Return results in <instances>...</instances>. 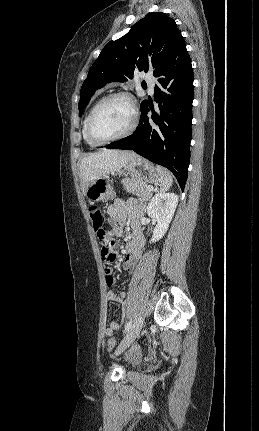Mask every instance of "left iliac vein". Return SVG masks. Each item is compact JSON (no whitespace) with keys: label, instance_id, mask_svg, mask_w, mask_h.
I'll use <instances>...</instances> for the list:
<instances>
[{"label":"left iliac vein","instance_id":"4c4485c4","mask_svg":"<svg viewBox=\"0 0 259 431\" xmlns=\"http://www.w3.org/2000/svg\"><path fill=\"white\" fill-rule=\"evenodd\" d=\"M144 319L143 317H139L133 326L130 328V330L127 332L123 340L121 341L120 345L118 346L115 354L119 355L121 354L125 349H127L138 337L142 326H143Z\"/></svg>","mask_w":259,"mask_h":431}]
</instances>
